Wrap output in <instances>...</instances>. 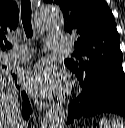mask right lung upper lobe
Masks as SVG:
<instances>
[{"label":"right lung upper lobe","mask_w":125,"mask_h":128,"mask_svg":"<svg viewBox=\"0 0 125 128\" xmlns=\"http://www.w3.org/2000/svg\"><path fill=\"white\" fill-rule=\"evenodd\" d=\"M19 21V10L16 2L0 0V50L6 48V35L16 29Z\"/></svg>","instance_id":"1"}]
</instances>
